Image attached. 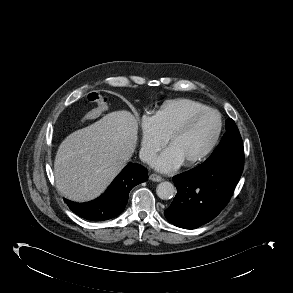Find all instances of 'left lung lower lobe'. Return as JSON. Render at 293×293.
Segmentation results:
<instances>
[{"label":"left lung lower lobe","mask_w":293,"mask_h":293,"mask_svg":"<svg viewBox=\"0 0 293 293\" xmlns=\"http://www.w3.org/2000/svg\"><path fill=\"white\" fill-rule=\"evenodd\" d=\"M244 148L225 147L213 163L201 165L173 177L177 194L165 210L174 225L195 229L214 219L227 205L241 177Z\"/></svg>","instance_id":"1"}]
</instances>
